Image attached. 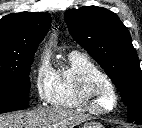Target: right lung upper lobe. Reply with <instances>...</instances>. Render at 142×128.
<instances>
[{"instance_id": "obj_1", "label": "right lung upper lobe", "mask_w": 142, "mask_h": 128, "mask_svg": "<svg viewBox=\"0 0 142 128\" xmlns=\"http://www.w3.org/2000/svg\"><path fill=\"white\" fill-rule=\"evenodd\" d=\"M50 25V14L43 12L12 13L0 19V73L33 59Z\"/></svg>"}]
</instances>
